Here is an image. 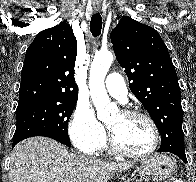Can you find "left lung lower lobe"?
<instances>
[{
	"instance_id": "0a47b994",
	"label": "left lung lower lobe",
	"mask_w": 196,
	"mask_h": 182,
	"mask_svg": "<svg viewBox=\"0 0 196 182\" xmlns=\"http://www.w3.org/2000/svg\"><path fill=\"white\" fill-rule=\"evenodd\" d=\"M158 152H170V153H173V154L179 156L185 163L187 162L185 150L161 151V150L159 149Z\"/></svg>"
}]
</instances>
